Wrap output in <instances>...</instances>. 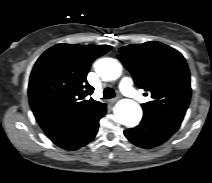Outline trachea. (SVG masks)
I'll return each instance as SVG.
<instances>
[{"label": "trachea", "mask_w": 212, "mask_h": 183, "mask_svg": "<svg viewBox=\"0 0 212 183\" xmlns=\"http://www.w3.org/2000/svg\"><path fill=\"white\" fill-rule=\"evenodd\" d=\"M115 97V92L112 88H105L103 91V98L104 99H111Z\"/></svg>", "instance_id": "3493384b"}]
</instances>
